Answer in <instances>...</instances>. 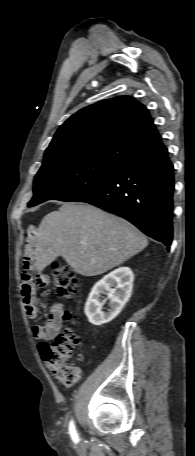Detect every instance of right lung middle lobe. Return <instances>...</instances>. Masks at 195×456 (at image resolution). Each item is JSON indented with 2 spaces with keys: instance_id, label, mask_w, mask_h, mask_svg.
<instances>
[{
  "instance_id": "1",
  "label": "right lung middle lobe",
  "mask_w": 195,
  "mask_h": 456,
  "mask_svg": "<svg viewBox=\"0 0 195 456\" xmlns=\"http://www.w3.org/2000/svg\"><path fill=\"white\" fill-rule=\"evenodd\" d=\"M122 165L97 159H65L43 163L34 179L29 207L47 200L74 201L93 191L121 169Z\"/></svg>"
}]
</instances>
